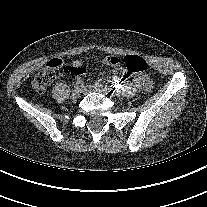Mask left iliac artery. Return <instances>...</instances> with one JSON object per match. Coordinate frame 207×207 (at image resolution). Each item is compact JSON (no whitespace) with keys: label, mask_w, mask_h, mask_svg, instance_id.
Returning <instances> with one entry per match:
<instances>
[{"label":"left iliac artery","mask_w":207,"mask_h":207,"mask_svg":"<svg viewBox=\"0 0 207 207\" xmlns=\"http://www.w3.org/2000/svg\"><path fill=\"white\" fill-rule=\"evenodd\" d=\"M95 85H96V87H101V88H104V89L110 91V93L113 94V95H115V96L120 95V91H119V89H117V87H116V89H114L111 86H108V87L105 86V87H103V85H101L99 83H96Z\"/></svg>","instance_id":"left-iliac-artery-1"}]
</instances>
